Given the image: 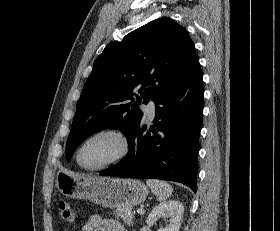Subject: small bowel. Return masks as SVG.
<instances>
[{
    "instance_id": "1",
    "label": "small bowel",
    "mask_w": 280,
    "mask_h": 231,
    "mask_svg": "<svg viewBox=\"0 0 280 231\" xmlns=\"http://www.w3.org/2000/svg\"><path fill=\"white\" fill-rule=\"evenodd\" d=\"M82 231H126V229L116 220L102 218L99 215H93L83 225Z\"/></svg>"
}]
</instances>
